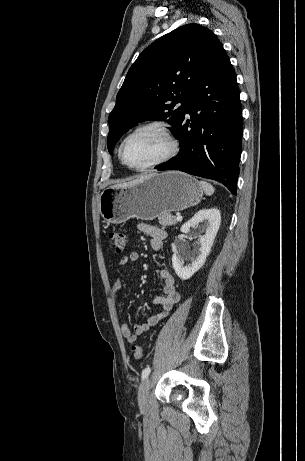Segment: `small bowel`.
<instances>
[{
    "label": "small bowel",
    "mask_w": 305,
    "mask_h": 461,
    "mask_svg": "<svg viewBox=\"0 0 305 461\" xmlns=\"http://www.w3.org/2000/svg\"><path fill=\"white\" fill-rule=\"evenodd\" d=\"M138 229L150 236V247L153 251L159 252L162 249L163 242L167 238V232L164 229L145 223L140 224ZM138 260L139 254L137 252H129L121 258L117 268L119 271H123L130 262ZM159 276L162 280L163 294L153 297L152 302L161 309L149 316L146 321L136 324L133 329L126 323L121 325V333L129 343H134L140 335L167 317L180 300V293L176 288L175 279L169 269L161 268ZM122 288L123 282L121 278H118L111 288V296L114 301L120 298Z\"/></svg>",
    "instance_id": "1"
}]
</instances>
